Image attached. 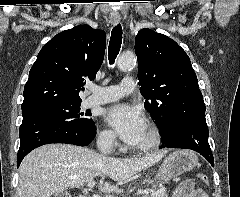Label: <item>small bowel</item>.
Returning a JSON list of instances; mask_svg holds the SVG:
<instances>
[{"label": "small bowel", "instance_id": "small-bowel-1", "mask_svg": "<svg viewBox=\"0 0 240 197\" xmlns=\"http://www.w3.org/2000/svg\"><path fill=\"white\" fill-rule=\"evenodd\" d=\"M174 197H208V194L197 189L192 181H187L175 192Z\"/></svg>", "mask_w": 240, "mask_h": 197}]
</instances>
